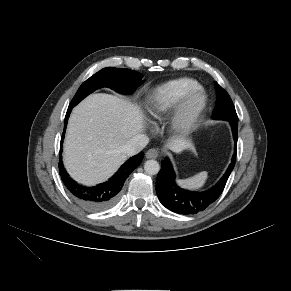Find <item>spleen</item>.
I'll return each mask as SVG.
<instances>
[{"label":"spleen","instance_id":"obj_1","mask_svg":"<svg viewBox=\"0 0 291 291\" xmlns=\"http://www.w3.org/2000/svg\"><path fill=\"white\" fill-rule=\"evenodd\" d=\"M208 177L207 172L203 171L198 174H196L193 177L180 180L178 183L188 189H199L201 188L204 183L206 182V179Z\"/></svg>","mask_w":291,"mask_h":291}]
</instances>
